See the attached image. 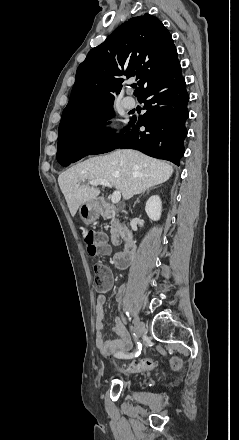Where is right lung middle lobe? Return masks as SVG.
<instances>
[{
	"label": "right lung middle lobe",
	"mask_w": 239,
	"mask_h": 440,
	"mask_svg": "<svg viewBox=\"0 0 239 440\" xmlns=\"http://www.w3.org/2000/svg\"><path fill=\"white\" fill-rule=\"evenodd\" d=\"M114 116L112 103L109 105L64 121L59 124L58 150L79 144L93 145L99 139L100 124ZM108 122L107 124H109ZM58 152V151H57Z\"/></svg>",
	"instance_id": "right-lung-middle-lobe-1"
}]
</instances>
